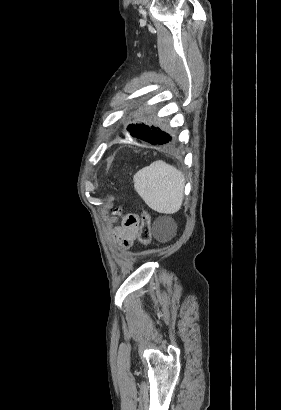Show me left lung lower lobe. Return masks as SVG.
Here are the masks:
<instances>
[{
  "mask_svg": "<svg viewBox=\"0 0 281 410\" xmlns=\"http://www.w3.org/2000/svg\"><path fill=\"white\" fill-rule=\"evenodd\" d=\"M128 130L133 137L142 139L153 145L169 144L172 140L169 134H166L154 126L149 127L145 124L129 125Z\"/></svg>",
  "mask_w": 281,
  "mask_h": 410,
  "instance_id": "0a47b994",
  "label": "left lung lower lobe"
}]
</instances>
